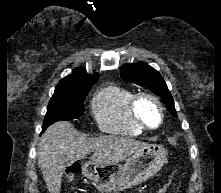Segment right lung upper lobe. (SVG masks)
I'll use <instances>...</instances> for the list:
<instances>
[{
    "label": "right lung upper lobe",
    "instance_id": "1",
    "mask_svg": "<svg viewBox=\"0 0 221 193\" xmlns=\"http://www.w3.org/2000/svg\"><path fill=\"white\" fill-rule=\"evenodd\" d=\"M98 78V74L88 75L85 70L76 68L71 75L59 81L55 90L93 85Z\"/></svg>",
    "mask_w": 221,
    "mask_h": 193
}]
</instances>
